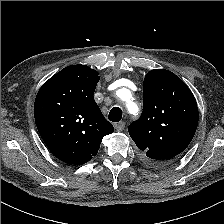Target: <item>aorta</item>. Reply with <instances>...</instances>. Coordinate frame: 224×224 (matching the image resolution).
Listing matches in <instances>:
<instances>
[{
    "label": "aorta",
    "instance_id": "762f6f07",
    "mask_svg": "<svg viewBox=\"0 0 224 224\" xmlns=\"http://www.w3.org/2000/svg\"><path fill=\"white\" fill-rule=\"evenodd\" d=\"M130 94V92L128 91V90H124V98L127 96V95H129ZM135 105H134V103H129L128 104V108L129 109H131V107H134Z\"/></svg>",
    "mask_w": 224,
    "mask_h": 224
}]
</instances>
